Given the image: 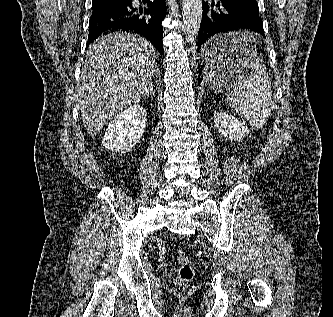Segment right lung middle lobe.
I'll list each match as a JSON object with an SVG mask.
<instances>
[{
	"mask_svg": "<svg viewBox=\"0 0 333 317\" xmlns=\"http://www.w3.org/2000/svg\"><path fill=\"white\" fill-rule=\"evenodd\" d=\"M117 3V2H122V1H110V0H93V3L92 5L94 6H97V5H101V4H104V3Z\"/></svg>",
	"mask_w": 333,
	"mask_h": 317,
	"instance_id": "1",
	"label": "right lung middle lobe"
}]
</instances>
